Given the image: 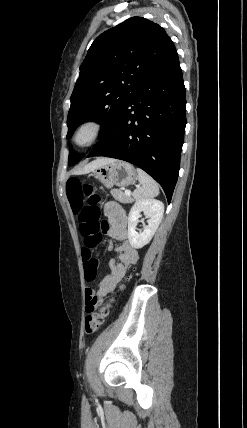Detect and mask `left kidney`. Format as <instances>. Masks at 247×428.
<instances>
[{
	"label": "left kidney",
	"instance_id": "5707ae66",
	"mask_svg": "<svg viewBox=\"0 0 247 428\" xmlns=\"http://www.w3.org/2000/svg\"><path fill=\"white\" fill-rule=\"evenodd\" d=\"M143 212L149 218L141 232L136 231L140 213ZM164 213V204L156 199H140L132 206L128 216V239L135 249H141L147 245L155 234Z\"/></svg>",
	"mask_w": 247,
	"mask_h": 428
}]
</instances>
